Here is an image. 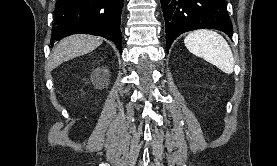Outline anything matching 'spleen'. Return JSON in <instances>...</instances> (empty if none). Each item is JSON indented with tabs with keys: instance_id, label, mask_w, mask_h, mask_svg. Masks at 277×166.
<instances>
[{
	"instance_id": "obj_1",
	"label": "spleen",
	"mask_w": 277,
	"mask_h": 166,
	"mask_svg": "<svg viewBox=\"0 0 277 166\" xmlns=\"http://www.w3.org/2000/svg\"><path fill=\"white\" fill-rule=\"evenodd\" d=\"M185 46L194 55L203 58L227 74L233 72L234 57L227 41L217 32L201 29L189 33Z\"/></svg>"
}]
</instances>
